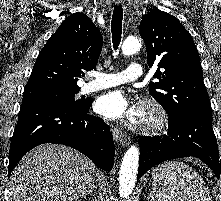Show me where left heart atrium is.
Listing matches in <instances>:
<instances>
[{
    "label": "left heart atrium",
    "instance_id": "1",
    "mask_svg": "<svg viewBox=\"0 0 221 201\" xmlns=\"http://www.w3.org/2000/svg\"><path fill=\"white\" fill-rule=\"evenodd\" d=\"M96 111L108 119H128L135 121L139 115L138 108L131 104L127 95L121 90H114L101 95L95 105Z\"/></svg>",
    "mask_w": 221,
    "mask_h": 201
}]
</instances>
